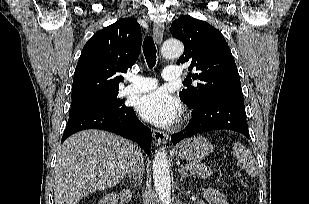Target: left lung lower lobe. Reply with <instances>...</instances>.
<instances>
[{"label": "left lung lower lobe", "mask_w": 309, "mask_h": 204, "mask_svg": "<svg viewBox=\"0 0 309 204\" xmlns=\"http://www.w3.org/2000/svg\"><path fill=\"white\" fill-rule=\"evenodd\" d=\"M191 109L189 125L171 136L174 144L198 133L220 129L233 130L249 138L243 96H218Z\"/></svg>", "instance_id": "0a47b994"}]
</instances>
